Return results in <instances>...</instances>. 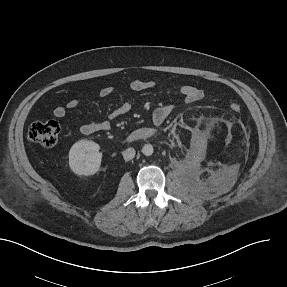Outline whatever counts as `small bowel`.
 Returning a JSON list of instances; mask_svg holds the SVG:
<instances>
[{"instance_id": "c3829d8e", "label": "small bowel", "mask_w": 287, "mask_h": 287, "mask_svg": "<svg viewBox=\"0 0 287 287\" xmlns=\"http://www.w3.org/2000/svg\"><path fill=\"white\" fill-rule=\"evenodd\" d=\"M154 87V83L148 80L133 79L129 83V88L133 91H146ZM115 89L111 86L103 87L99 94L102 97H107L113 94ZM180 93L182 94L186 103H195L204 98V92L202 89L193 85H183L180 87ZM77 99L69 100L65 105H58L54 108L53 113L57 118H63L67 114L68 109H74L78 106ZM134 106L132 99H127L118 105L109 115V119L102 122H88L80 126V132L85 135L94 134L99 131H108L111 128L112 121L128 114ZM174 110V104H165L156 108L153 112L152 120L156 127L162 126L167 118L172 114Z\"/></svg>"}]
</instances>
